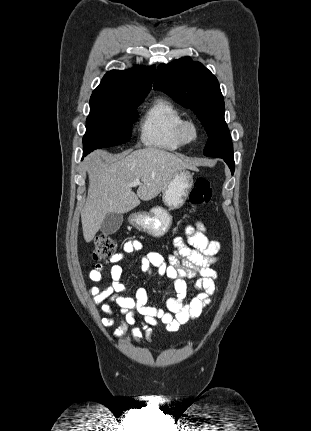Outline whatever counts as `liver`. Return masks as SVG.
Listing matches in <instances>:
<instances>
[{"label": "liver", "instance_id": "1", "mask_svg": "<svg viewBox=\"0 0 311 431\" xmlns=\"http://www.w3.org/2000/svg\"><path fill=\"white\" fill-rule=\"evenodd\" d=\"M102 154L96 150L84 162L89 178L87 200L81 212L85 241L94 239L110 212L127 214L140 206L141 200L156 198L180 170H197L190 160L158 148L127 150L126 154L114 156L112 164H105ZM133 180L142 182L136 194L128 186Z\"/></svg>", "mask_w": 311, "mask_h": 431}]
</instances>
